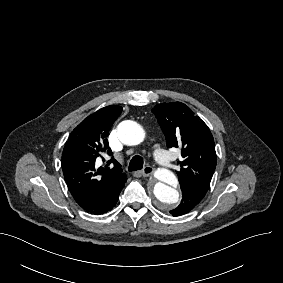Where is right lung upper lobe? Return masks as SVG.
<instances>
[{"instance_id": "obj_1", "label": "right lung upper lobe", "mask_w": 283, "mask_h": 283, "mask_svg": "<svg viewBox=\"0 0 283 283\" xmlns=\"http://www.w3.org/2000/svg\"><path fill=\"white\" fill-rule=\"evenodd\" d=\"M122 111L107 106L85 118L70 134L62 155V169L68 189L79 206L102 200L126 180L121 165L112 158L108 167H95L103 152L112 154L106 137ZM104 161V158H103Z\"/></svg>"}]
</instances>
